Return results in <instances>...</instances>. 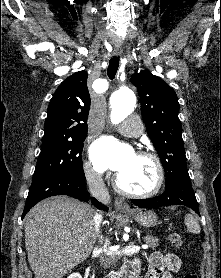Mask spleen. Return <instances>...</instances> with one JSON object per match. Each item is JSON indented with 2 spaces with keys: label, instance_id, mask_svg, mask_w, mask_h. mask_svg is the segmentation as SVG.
I'll return each mask as SVG.
<instances>
[{
  "label": "spleen",
  "instance_id": "obj_1",
  "mask_svg": "<svg viewBox=\"0 0 221 278\" xmlns=\"http://www.w3.org/2000/svg\"><path fill=\"white\" fill-rule=\"evenodd\" d=\"M185 224L187 229L193 234H199L201 229L198 221L194 218L193 215L187 214L185 216Z\"/></svg>",
  "mask_w": 221,
  "mask_h": 278
}]
</instances>
